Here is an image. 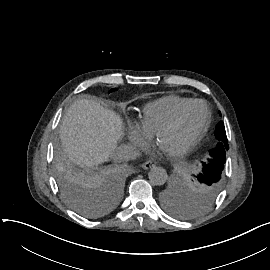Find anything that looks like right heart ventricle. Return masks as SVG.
I'll return each instance as SVG.
<instances>
[{
	"label": "right heart ventricle",
	"mask_w": 270,
	"mask_h": 270,
	"mask_svg": "<svg viewBox=\"0 0 270 270\" xmlns=\"http://www.w3.org/2000/svg\"><path fill=\"white\" fill-rule=\"evenodd\" d=\"M190 98L175 95L160 97L143 107L140 129L148 134H156L183 107L191 103Z\"/></svg>",
	"instance_id": "1"
}]
</instances>
